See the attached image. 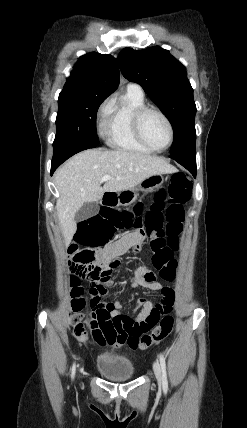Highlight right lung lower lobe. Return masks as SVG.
<instances>
[{"mask_svg":"<svg viewBox=\"0 0 247 428\" xmlns=\"http://www.w3.org/2000/svg\"><path fill=\"white\" fill-rule=\"evenodd\" d=\"M85 150V148H61L54 150L52 163H51V175L56 170V168L66 161L68 158L73 156L74 154Z\"/></svg>","mask_w":247,"mask_h":428,"instance_id":"1","label":"right lung lower lobe"}]
</instances>
